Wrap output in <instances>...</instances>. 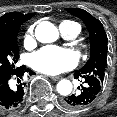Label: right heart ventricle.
Returning a JSON list of instances; mask_svg holds the SVG:
<instances>
[{"label":"right heart ventricle","mask_w":117,"mask_h":117,"mask_svg":"<svg viewBox=\"0 0 117 117\" xmlns=\"http://www.w3.org/2000/svg\"><path fill=\"white\" fill-rule=\"evenodd\" d=\"M61 25H64V26H66V27H76V28H78L79 31H80V26H79V24H77L76 22H73V21L66 20V21H63V22L61 23Z\"/></svg>","instance_id":"obj_1"}]
</instances>
